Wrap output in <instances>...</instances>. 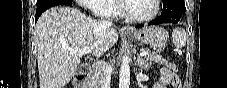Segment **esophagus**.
<instances>
[{"instance_id": "esophagus-1", "label": "esophagus", "mask_w": 227, "mask_h": 88, "mask_svg": "<svg viewBox=\"0 0 227 88\" xmlns=\"http://www.w3.org/2000/svg\"><path fill=\"white\" fill-rule=\"evenodd\" d=\"M122 30H124V31H132L133 28L128 26V25H126V26H123Z\"/></svg>"}]
</instances>
